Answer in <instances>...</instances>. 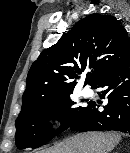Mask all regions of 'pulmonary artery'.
Returning <instances> with one entry per match:
<instances>
[{"label":"pulmonary artery","mask_w":130,"mask_h":153,"mask_svg":"<svg viewBox=\"0 0 130 153\" xmlns=\"http://www.w3.org/2000/svg\"><path fill=\"white\" fill-rule=\"evenodd\" d=\"M82 95L85 97V98H90L93 96V91L89 88H85L83 89L82 91Z\"/></svg>","instance_id":"pulmonary-artery-1"}]
</instances>
